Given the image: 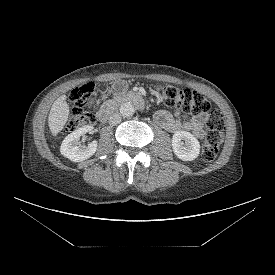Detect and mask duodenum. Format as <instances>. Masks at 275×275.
I'll return each mask as SVG.
<instances>
[{"mask_svg":"<svg viewBox=\"0 0 275 275\" xmlns=\"http://www.w3.org/2000/svg\"><path fill=\"white\" fill-rule=\"evenodd\" d=\"M122 103H131L139 109H144L142 96L135 92H128L106 102L99 111L98 120L105 123Z\"/></svg>","mask_w":275,"mask_h":275,"instance_id":"duodenum-1","label":"duodenum"}]
</instances>
